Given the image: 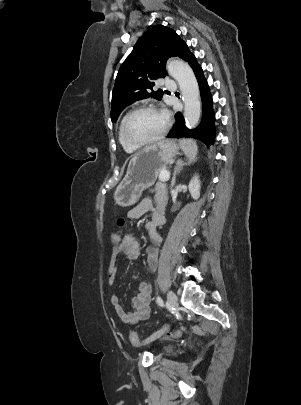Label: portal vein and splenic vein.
<instances>
[{
  "instance_id": "18ae733b",
  "label": "portal vein and splenic vein",
  "mask_w": 301,
  "mask_h": 405,
  "mask_svg": "<svg viewBox=\"0 0 301 405\" xmlns=\"http://www.w3.org/2000/svg\"><path fill=\"white\" fill-rule=\"evenodd\" d=\"M169 178H170V174H169V172H167V171H162V172L160 173V175H159V179H160L161 181H167V180H169Z\"/></svg>"
}]
</instances>
